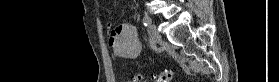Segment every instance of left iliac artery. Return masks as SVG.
Listing matches in <instances>:
<instances>
[{
  "instance_id": "obj_1",
  "label": "left iliac artery",
  "mask_w": 279,
  "mask_h": 82,
  "mask_svg": "<svg viewBox=\"0 0 279 82\" xmlns=\"http://www.w3.org/2000/svg\"><path fill=\"white\" fill-rule=\"evenodd\" d=\"M142 22H143V25L147 27L148 25L151 24V18L149 16H144L142 19Z\"/></svg>"
}]
</instances>
